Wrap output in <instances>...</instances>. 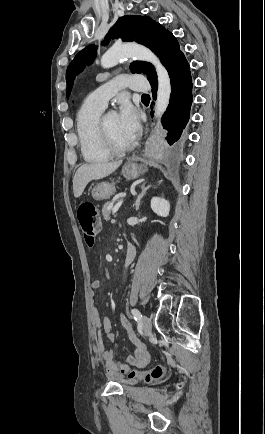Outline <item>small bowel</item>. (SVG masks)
I'll return each instance as SVG.
<instances>
[{
	"label": "small bowel",
	"instance_id": "small-bowel-1",
	"mask_svg": "<svg viewBox=\"0 0 265 434\" xmlns=\"http://www.w3.org/2000/svg\"><path fill=\"white\" fill-rule=\"evenodd\" d=\"M100 288L101 282L99 280H94L91 283V296L93 298L95 297V291L99 290ZM118 314L120 315V320L128 334L130 341L136 346V352L134 357L131 359V362H137L139 364L147 362L150 359V353L147 350L146 345L135 335L132 325L126 318V314L123 313L122 310H119ZM92 318L97 326V333L95 337L97 352L108 370L106 376L112 382H120L121 376L119 375L118 370L113 363L115 351L112 348H107L104 344L103 335H105L106 338L111 342H114L116 339L115 334L112 332L110 319L106 316H102L98 309H94L92 311ZM129 381L135 382L134 378H130Z\"/></svg>",
	"mask_w": 265,
	"mask_h": 434
}]
</instances>
